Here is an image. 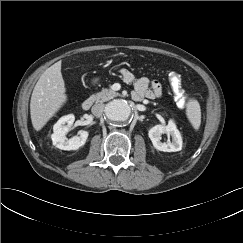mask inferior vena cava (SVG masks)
<instances>
[{
	"label": "inferior vena cava",
	"instance_id": "1",
	"mask_svg": "<svg viewBox=\"0 0 243 243\" xmlns=\"http://www.w3.org/2000/svg\"><path fill=\"white\" fill-rule=\"evenodd\" d=\"M92 113L94 116L96 117H100L103 114L104 111V105L101 103L95 104L92 109H91Z\"/></svg>",
	"mask_w": 243,
	"mask_h": 243
}]
</instances>
